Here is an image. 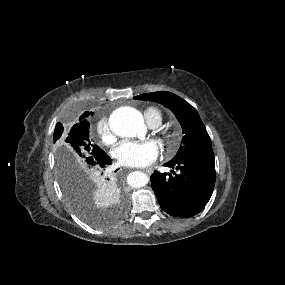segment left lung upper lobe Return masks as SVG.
I'll return each mask as SVG.
<instances>
[{
	"label": "left lung upper lobe",
	"mask_w": 285,
	"mask_h": 285,
	"mask_svg": "<svg viewBox=\"0 0 285 285\" xmlns=\"http://www.w3.org/2000/svg\"><path fill=\"white\" fill-rule=\"evenodd\" d=\"M135 99L149 100L169 108L182 126L183 145L180 146L175 157L176 161L199 155H213L210 137L198 112L184 99L170 92H153L141 94Z\"/></svg>",
	"instance_id": "5c2ea615"
}]
</instances>
